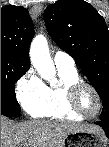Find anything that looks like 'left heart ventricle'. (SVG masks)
I'll list each match as a JSON object with an SVG mask.
<instances>
[{"label": "left heart ventricle", "instance_id": "b2bd125f", "mask_svg": "<svg viewBox=\"0 0 109 147\" xmlns=\"http://www.w3.org/2000/svg\"><path fill=\"white\" fill-rule=\"evenodd\" d=\"M78 105L85 114L92 115L97 109V99L92 91L84 88L79 94Z\"/></svg>", "mask_w": 109, "mask_h": 147}]
</instances>
